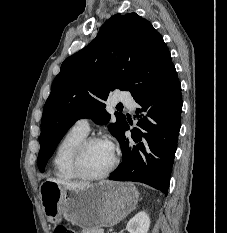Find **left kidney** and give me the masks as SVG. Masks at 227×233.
I'll return each mask as SVG.
<instances>
[{"label": "left kidney", "mask_w": 227, "mask_h": 233, "mask_svg": "<svg viewBox=\"0 0 227 233\" xmlns=\"http://www.w3.org/2000/svg\"><path fill=\"white\" fill-rule=\"evenodd\" d=\"M150 227V218L146 212L136 214L126 226L129 233H147Z\"/></svg>", "instance_id": "left-kidney-1"}]
</instances>
